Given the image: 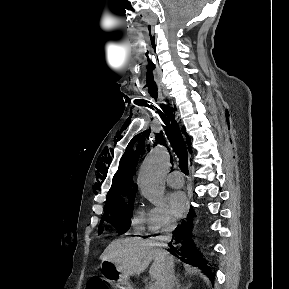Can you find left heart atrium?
<instances>
[{
  "label": "left heart atrium",
  "mask_w": 289,
  "mask_h": 289,
  "mask_svg": "<svg viewBox=\"0 0 289 289\" xmlns=\"http://www.w3.org/2000/svg\"><path fill=\"white\" fill-rule=\"evenodd\" d=\"M168 205L171 213L179 218L185 214L188 209V199L184 192L176 191L168 196Z\"/></svg>",
  "instance_id": "left-heart-atrium-1"
}]
</instances>
